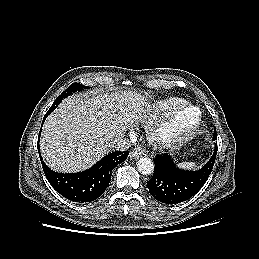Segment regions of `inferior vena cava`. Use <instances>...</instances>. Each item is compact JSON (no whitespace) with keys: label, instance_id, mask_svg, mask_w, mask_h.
<instances>
[{"label":"inferior vena cava","instance_id":"obj_1","mask_svg":"<svg viewBox=\"0 0 259 259\" xmlns=\"http://www.w3.org/2000/svg\"><path fill=\"white\" fill-rule=\"evenodd\" d=\"M113 146L118 151H126L131 146V143H130L129 139L122 136L114 141Z\"/></svg>","mask_w":259,"mask_h":259}]
</instances>
